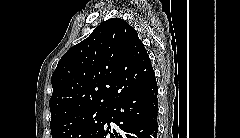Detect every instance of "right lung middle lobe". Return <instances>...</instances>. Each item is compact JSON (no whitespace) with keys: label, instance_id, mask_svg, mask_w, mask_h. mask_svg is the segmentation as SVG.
<instances>
[{"label":"right lung middle lobe","instance_id":"right-lung-middle-lobe-1","mask_svg":"<svg viewBox=\"0 0 240 138\" xmlns=\"http://www.w3.org/2000/svg\"><path fill=\"white\" fill-rule=\"evenodd\" d=\"M108 108H90L50 124L52 138H93L104 124Z\"/></svg>","mask_w":240,"mask_h":138}]
</instances>
